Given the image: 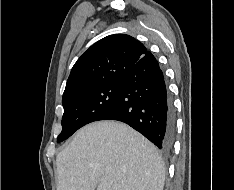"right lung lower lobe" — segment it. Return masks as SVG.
Masks as SVG:
<instances>
[{
	"instance_id": "obj_1",
	"label": "right lung lower lobe",
	"mask_w": 234,
	"mask_h": 190,
	"mask_svg": "<svg viewBox=\"0 0 234 190\" xmlns=\"http://www.w3.org/2000/svg\"><path fill=\"white\" fill-rule=\"evenodd\" d=\"M99 120L124 122L160 150L171 149L175 135L173 104L163 72L151 52L124 74L115 103Z\"/></svg>"
}]
</instances>
